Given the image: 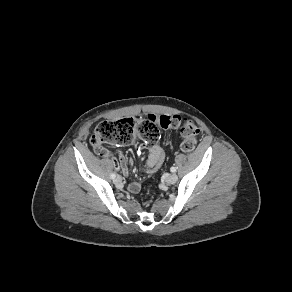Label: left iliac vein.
<instances>
[{"label": "left iliac vein", "mask_w": 292, "mask_h": 292, "mask_svg": "<svg viewBox=\"0 0 292 292\" xmlns=\"http://www.w3.org/2000/svg\"><path fill=\"white\" fill-rule=\"evenodd\" d=\"M178 180V176L176 174H171L167 177V183L168 184H174Z\"/></svg>", "instance_id": "1"}]
</instances>
